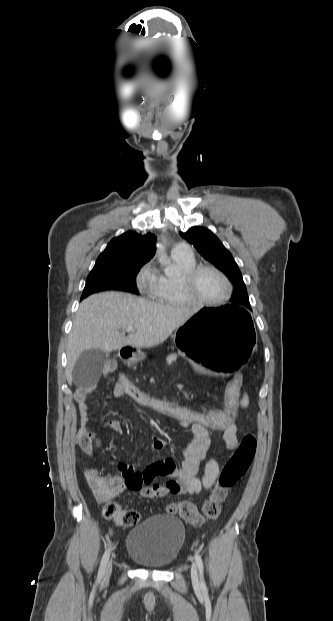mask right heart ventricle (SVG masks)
<instances>
[{
    "mask_svg": "<svg viewBox=\"0 0 333 621\" xmlns=\"http://www.w3.org/2000/svg\"><path fill=\"white\" fill-rule=\"evenodd\" d=\"M171 263L176 268L174 275L162 274L158 276L157 287L152 298L161 304L169 306H184L191 304L183 293L181 279L183 275L196 266L195 259L172 254Z\"/></svg>",
    "mask_w": 333,
    "mask_h": 621,
    "instance_id": "right-heart-ventricle-1",
    "label": "right heart ventricle"
}]
</instances>
